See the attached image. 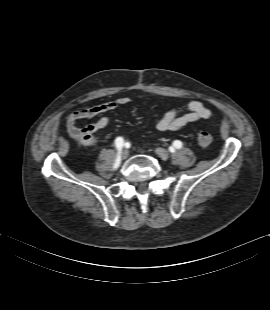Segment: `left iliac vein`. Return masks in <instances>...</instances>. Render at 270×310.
Here are the masks:
<instances>
[{"label":"left iliac vein","instance_id":"obj_1","mask_svg":"<svg viewBox=\"0 0 270 310\" xmlns=\"http://www.w3.org/2000/svg\"><path fill=\"white\" fill-rule=\"evenodd\" d=\"M156 153L157 155L162 158L163 160H167L169 158V153L167 150L163 149V148H157L156 149Z\"/></svg>","mask_w":270,"mask_h":310}]
</instances>
